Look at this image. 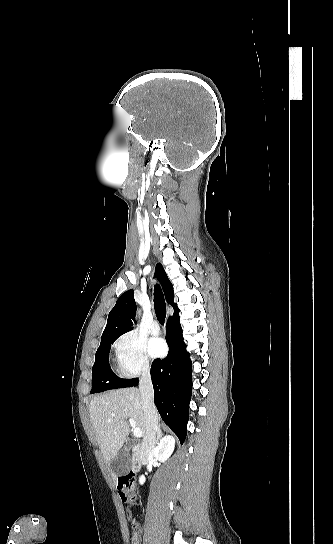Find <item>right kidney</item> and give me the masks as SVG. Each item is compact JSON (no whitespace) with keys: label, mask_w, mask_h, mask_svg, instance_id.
I'll use <instances>...</instances> for the list:
<instances>
[{"label":"right kidney","mask_w":333,"mask_h":544,"mask_svg":"<svg viewBox=\"0 0 333 544\" xmlns=\"http://www.w3.org/2000/svg\"><path fill=\"white\" fill-rule=\"evenodd\" d=\"M175 448V439L170 436H164L158 443V446L154 449L153 455L160 462H165L173 453ZM140 484H144L145 477L142 475L139 478Z\"/></svg>","instance_id":"obj_1"}]
</instances>
